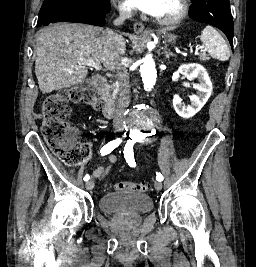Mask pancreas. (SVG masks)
Wrapping results in <instances>:
<instances>
[{"label": "pancreas", "mask_w": 256, "mask_h": 267, "mask_svg": "<svg viewBox=\"0 0 256 267\" xmlns=\"http://www.w3.org/2000/svg\"><path fill=\"white\" fill-rule=\"evenodd\" d=\"M200 60L201 62H205V60H209V58H206V54H200ZM112 90H117L116 84H113Z\"/></svg>", "instance_id": "obj_1"}]
</instances>
